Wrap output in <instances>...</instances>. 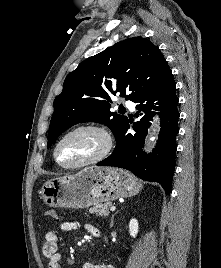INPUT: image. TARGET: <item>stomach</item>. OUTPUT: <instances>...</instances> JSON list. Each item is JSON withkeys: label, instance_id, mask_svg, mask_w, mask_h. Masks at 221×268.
Instances as JSON below:
<instances>
[{"label": "stomach", "instance_id": "stomach-1", "mask_svg": "<svg viewBox=\"0 0 221 268\" xmlns=\"http://www.w3.org/2000/svg\"><path fill=\"white\" fill-rule=\"evenodd\" d=\"M142 183L129 172L109 167H87L74 175L47 181L41 190L50 207L86 208L120 197L134 196Z\"/></svg>", "mask_w": 221, "mask_h": 268}]
</instances>
